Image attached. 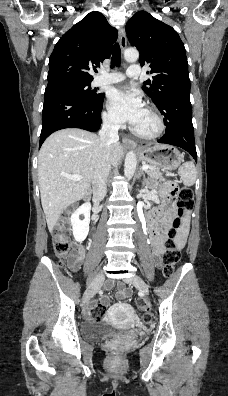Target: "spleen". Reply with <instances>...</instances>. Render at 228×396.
<instances>
[{
    "label": "spleen",
    "mask_w": 228,
    "mask_h": 396,
    "mask_svg": "<svg viewBox=\"0 0 228 396\" xmlns=\"http://www.w3.org/2000/svg\"><path fill=\"white\" fill-rule=\"evenodd\" d=\"M178 174L180 175L183 184L185 186H192L196 181V168L193 162H185L180 166L178 170Z\"/></svg>",
    "instance_id": "1"
}]
</instances>
